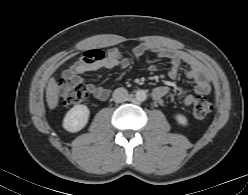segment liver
Returning a JSON list of instances; mask_svg holds the SVG:
<instances>
[{
    "label": "liver",
    "mask_w": 248,
    "mask_h": 195,
    "mask_svg": "<svg viewBox=\"0 0 248 195\" xmlns=\"http://www.w3.org/2000/svg\"><path fill=\"white\" fill-rule=\"evenodd\" d=\"M46 101L48 107L53 110L57 107L59 101L58 85L54 77H51L46 87Z\"/></svg>",
    "instance_id": "6515ba94"
}]
</instances>
